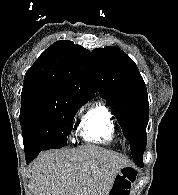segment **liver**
Listing matches in <instances>:
<instances>
[{"mask_svg":"<svg viewBox=\"0 0 178 195\" xmlns=\"http://www.w3.org/2000/svg\"><path fill=\"white\" fill-rule=\"evenodd\" d=\"M124 156L97 146L41 153L30 171L36 195H108Z\"/></svg>","mask_w":178,"mask_h":195,"instance_id":"1","label":"liver"}]
</instances>
